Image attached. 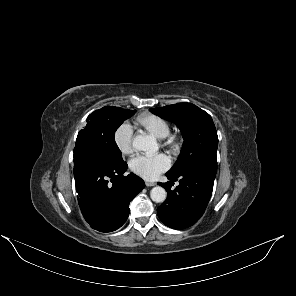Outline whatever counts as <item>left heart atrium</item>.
Wrapping results in <instances>:
<instances>
[{
    "label": "left heart atrium",
    "instance_id": "left-heart-atrium-1",
    "mask_svg": "<svg viewBox=\"0 0 296 296\" xmlns=\"http://www.w3.org/2000/svg\"><path fill=\"white\" fill-rule=\"evenodd\" d=\"M130 169L136 175L154 180L170 167V159L164 153L139 155L130 161Z\"/></svg>",
    "mask_w": 296,
    "mask_h": 296
}]
</instances>
